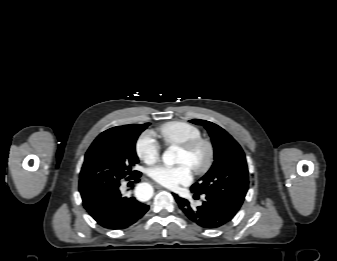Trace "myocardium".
<instances>
[{"label": "myocardium", "mask_w": 337, "mask_h": 261, "mask_svg": "<svg viewBox=\"0 0 337 261\" xmlns=\"http://www.w3.org/2000/svg\"><path fill=\"white\" fill-rule=\"evenodd\" d=\"M180 147L181 149L190 154L197 151L200 147H204L206 149L207 156L204 163H202L201 165H195L191 167L196 174L198 175L205 174L212 168L215 161L216 151L214 144L211 140L200 136L198 138L189 140L181 144Z\"/></svg>", "instance_id": "1"}]
</instances>
